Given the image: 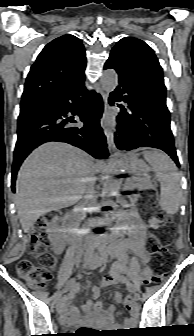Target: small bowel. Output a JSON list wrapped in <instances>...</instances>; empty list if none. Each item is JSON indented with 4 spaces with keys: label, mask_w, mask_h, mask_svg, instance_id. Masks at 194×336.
<instances>
[{
    "label": "small bowel",
    "mask_w": 194,
    "mask_h": 336,
    "mask_svg": "<svg viewBox=\"0 0 194 336\" xmlns=\"http://www.w3.org/2000/svg\"><path fill=\"white\" fill-rule=\"evenodd\" d=\"M128 238L121 240L116 248L115 254L117 263L113 266L110 273L102 279L101 285L93 287V298L96 301H87L83 305L84 322L94 325H112L117 317L114 306L104 309L103 303L97 300L101 294L102 287L115 285L125 281L122 273H128L136 283L151 276L150 267L151 257L146 249L147 231L146 225L138 217L135 211H131L128 218ZM131 250L143 264V269H138L137 263L127 255V250ZM116 301L122 300V295L115 294ZM61 321L65 325H74L78 322L77 311L71 305V301L63 303L61 306ZM126 323H130L126 320Z\"/></svg>",
    "instance_id": "small-bowel-1"
}]
</instances>
